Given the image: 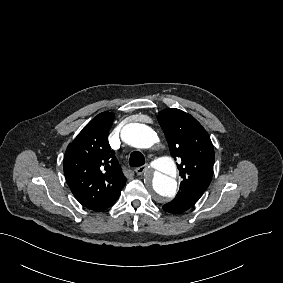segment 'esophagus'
I'll use <instances>...</instances> for the list:
<instances>
[{
    "instance_id": "obj_1",
    "label": "esophagus",
    "mask_w": 283,
    "mask_h": 283,
    "mask_svg": "<svg viewBox=\"0 0 283 283\" xmlns=\"http://www.w3.org/2000/svg\"><path fill=\"white\" fill-rule=\"evenodd\" d=\"M149 168V164H145L143 166H140L138 168L135 169V172L138 174V175H141L143 174L147 169Z\"/></svg>"
}]
</instances>
